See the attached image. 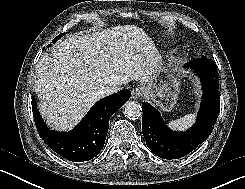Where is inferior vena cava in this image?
Segmentation results:
<instances>
[{"label":"inferior vena cava","mask_w":245,"mask_h":189,"mask_svg":"<svg viewBox=\"0 0 245 189\" xmlns=\"http://www.w3.org/2000/svg\"><path fill=\"white\" fill-rule=\"evenodd\" d=\"M119 90H120V87H119V86L113 85V86H111V87L105 89L103 93H104L105 95H111V94H113V93H116V92L119 91Z\"/></svg>","instance_id":"inferior-vena-cava-1"}]
</instances>
